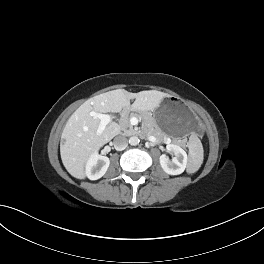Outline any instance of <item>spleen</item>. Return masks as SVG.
Wrapping results in <instances>:
<instances>
[{
	"mask_svg": "<svg viewBox=\"0 0 264 264\" xmlns=\"http://www.w3.org/2000/svg\"><path fill=\"white\" fill-rule=\"evenodd\" d=\"M204 151L200 139L195 135L190 136L189 154L190 159L187 167L188 173H195L203 162Z\"/></svg>",
	"mask_w": 264,
	"mask_h": 264,
	"instance_id": "1",
	"label": "spleen"
}]
</instances>
